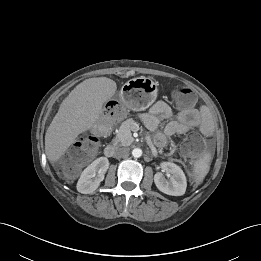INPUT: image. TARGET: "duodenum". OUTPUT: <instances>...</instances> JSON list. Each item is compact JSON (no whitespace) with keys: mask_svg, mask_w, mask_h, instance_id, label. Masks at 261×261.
Here are the masks:
<instances>
[{"mask_svg":"<svg viewBox=\"0 0 261 261\" xmlns=\"http://www.w3.org/2000/svg\"><path fill=\"white\" fill-rule=\"evenodd\" d=\"M100 129H104V130H108L109 129V125L107 123L105 124H102L100 126ZM115 147L113 145H107L104 149V154L107 156V157H112L114 154H115Z\"/></svg>","mask_w":261,"mask_h":261,"instance_id":"410a0bca","label":"duodenum"}]
</instances>
